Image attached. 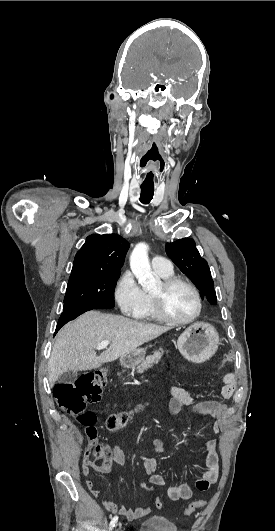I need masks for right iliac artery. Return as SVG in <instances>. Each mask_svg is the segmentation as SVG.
<instances>
[{
  "label": "right iliac artery",
  "instance_id": "obj_1",
  "mask_svg": "<svg viewBox=\"0 0 275 531\" xmlns=\"http://www.w3.org/2000/svg\"><path fill=\"white\" fill-rule=\"evenodd\" d=\"M117 521H118V517L115 516V517L111 520V522H110V525H109V531H111V530L113 529V527H115Z\"/></svg>",
  "mask_w": 275,
  "mask_h": 531
}]
</instances>
